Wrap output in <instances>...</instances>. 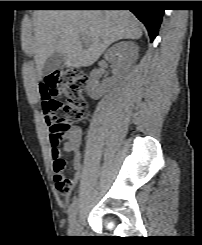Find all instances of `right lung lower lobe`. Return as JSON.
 Here are the masks:
<instances>
[{"label":"right lung lower lobe","mask_w":202,"mask_h":245,"mask_svg":"<svg viewBox=\"0 0 202 245\" xmlns=\"http://www.w3.org/2000/svg\"><path fill=\"white\" fill-rule=\"evenodd\" d=\"M80 1L82 7H130L129 10L146 26L151 42L158 34L164 10L157 1Z\"/></svg>","instance_id":"right-lung-lower-lobe-1"}]
</instances>
